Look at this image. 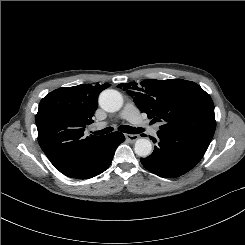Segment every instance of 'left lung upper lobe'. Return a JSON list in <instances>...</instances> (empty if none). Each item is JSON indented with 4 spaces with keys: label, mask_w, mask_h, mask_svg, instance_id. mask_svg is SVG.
<instances>
[{
    "label": "left lung upper lobe",
    "mask_w": 245,
    "mask_h": 245,
    "mask_svg": "<svg viewBox=\"0 0 245 245\" xmlns=\"http://www.w3.org/2000/svg\"><path fill=\"white\" fill-rule=\"evenodd\" d=\"M133 97L141 112L161 122L160 130L190 133L212 140L216 128L214 104L198 84L182 79H149L117 86Z\"/></svg>",
    "instance_id": "5c2ea615"
}]
</instances>
